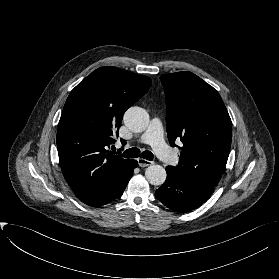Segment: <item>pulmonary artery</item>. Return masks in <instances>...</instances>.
<instances>
[{"mask_svg": "<svg viewBox=\"0 0 279 279\" xmlns=\"http://www.w3.org/2000/svg\"><path fill=\"white\" fill-rule=\"evenodd\" d=\"M139 141L150 145L156 155L167 164L174 165L178 162V157L171 152L163 139V127L159 118L152 119Z\"/></svg>", "mask_w": 279, "mask_h": 279, "instance_id": "obj_1", "label": "pulmonary artery"}]
</instances>
